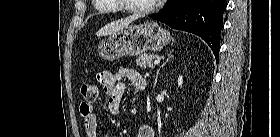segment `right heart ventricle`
Listing matches in <instances>:
<instances>
[{
  "instance_id": "obj_1",
  "label": "right heart ventricle",
  "mask_w": 280,
  "mask_h": 137,
  "mask_svg": "<svg viewBox=\"0 0 280 137\" xmlns=\"http://www.w3.org/2000/svg\"><path fill=\"white\" fill-rule=\"evenodd\" d=\"M109 0H95L96 11L102 14H116L118 13V8L108 5Z\"/></svg>"
}]
</instances>
